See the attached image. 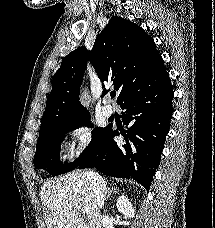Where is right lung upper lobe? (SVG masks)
I'll return each mask as SVG.
<instances>
[{
    "label": "right lung upper lobe",
    "instance_id": "1",
    "mask_svg": "<svg viewBox=\"0 0 215 228\" xmlns=\"http://www.w3.org/2000/svg\"><path fill=\"white\" fill-rule=\"evenodd\" d=\"M87 60L91 61L103 87V81H113L114 89L120 91L119 105L137 82L155 81L168 75L154 40L133 22L112 17L91 51L82 46L62 60L53 77L41 127L89 116L79 102Z\"/></svg>",
    "mask_w": 215,
    "mask_h": 228
}]
</instances>
